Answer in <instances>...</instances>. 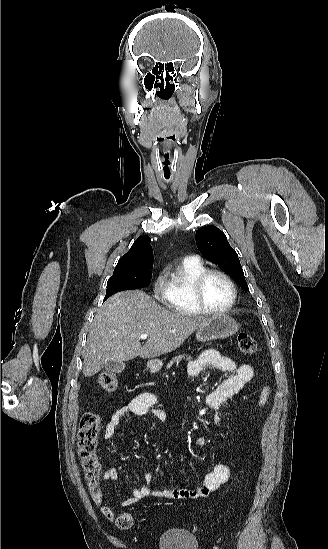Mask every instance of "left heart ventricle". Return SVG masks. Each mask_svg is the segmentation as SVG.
<instances>
[{
	"label": "left heart ventricle",
	"mask_w": 328,
	"mask_h": 549,
	"mask_svg": "<svg viewBox=\"0 0 328 549\" xmlns=\"http://www.w3.org/2000/svg\"><path fill=\"white\" fill-rule=\"evenodd\" d=\"M203 295L206 301V304L202 305L203 307L210 310H221L229 304L232 290L225 278L214 274L206 280Z\"/></svg>",
	"instance_id": "b2bd125f"
}]
</instances>
